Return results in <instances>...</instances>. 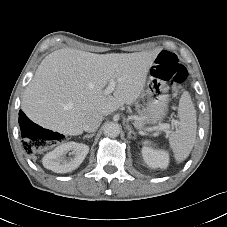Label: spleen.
Instances as JSON below:
<instances>
[{"mask_svg": "<svg viewBox=\"0 0 227 227\" xmlns=\"http://www.w3.org/2000/svg\"><path fill=\"white\" fill-rule=\"evenodd\" d=\"M178 117L180 120L179 125L170 135L169 143L176 161L182 162L193 149L197 131L196 110L187 91L183 92L180 98ZM143 144L151 145V142L146 140Z\"/></svg>", "mask_w": 227, "mask_h": 227, "instance_id": "obj_1", "label": "spleen"}]
</instances>
